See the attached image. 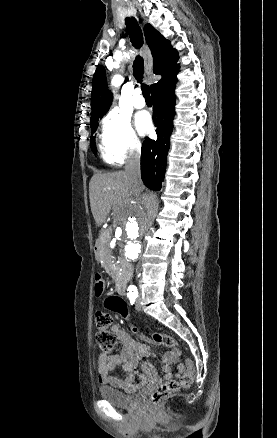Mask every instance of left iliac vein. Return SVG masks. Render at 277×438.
Returning <instances> with one entry per match:
<instances>
[{
  "label": "left iliac vein",
  "mask_w": 277,
  "mask_h": 438,
  "mask_svg": "<svg viewBox=\"0 0 277 438\" xmlns=\"http://www.w3.org/2000/svg\"><path fill=\"white\" fill-rule=\"evenodd\" d=\"M136 310L140 311L141 310V305H140V301L138 300L136 303Z\"/></svg>",
  "instance_id": "1"
}]
</instances>
